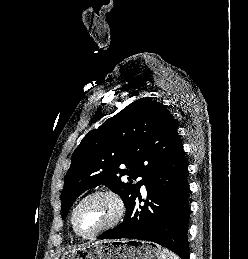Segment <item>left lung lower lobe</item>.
I'll list each match as a JSON object with an SVG mask.
<instances>
[{"label": "left lung lower lobe", "instance_id": "0a47b994", "mask_svg": "<svg viewBox=\"0 0 248 259\" xmlns=\"http://www.w3.org/2000/svg\"><path fill=\"white\" fill-rule=\"evenodd\" d=\"M188 168L182 144L151 172L145 181L148 200L140 193L126 209L124 221L98 239L133 238L155 242L189 259Z\"/></svg>", "mask_w": 248, "mask_h": 259}]
</instances>
